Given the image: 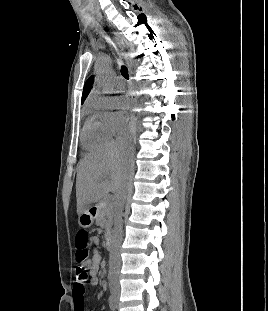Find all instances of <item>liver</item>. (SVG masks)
Listing matches in <instances>:
<instances>
[{"label":"liver","instance_id":"liver-1","mask_svg":"<svg viewBox=\"0 0 268 311\" xmlns=\"http://www.w3.org/2000/svg\"><path fill=\"white\" fill-rule=\"evenodd\" d=\"M127 160L126 148L118 143L80 160L76 179L78 215L109 192L118 193L124 187Z\"/></svg>","mask_w":268,"mask_h":311}]
</instances>
